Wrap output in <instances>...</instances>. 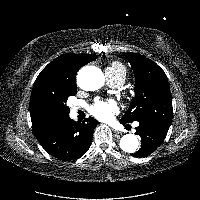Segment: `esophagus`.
I'll return each mask as SVG.
<instances>
[{
  "label": "esophagus",
  "mask_w": 200,
  "mask_h": 200,
  "mask_svg": "<svg viewBox=\"0 0 200 200\" xmlns=\"http://www.w3.org/2000/svg\"><path fill=\"white\" fill-rule=\"evenodd\" d=\"M112 130H113V132L116 133V134H119V133H120L119 131H117V130H115V129H112Z\"/></svg>",
  "instance_id": "1"
}]
</instances>
